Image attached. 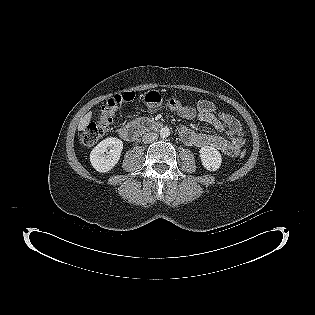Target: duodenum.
Segmentation results:
<instances>
[{"instance_id": "duodenum-1", "label": "duodenum", "mask_w": 315, "mask_h": 315, "mask_svg": "<svg viewBox=\"0 0 315 315\" xmlns=\"http://www.w3.org/2000/svg\"><path fill=\"white\" fill-rule=\"evenodd\" d=\"M159 127L160 124L155 121L140 119L123 126L119 130V134L127 141H135L144 132L155 130Z\"/></svg>"}]
</instances>
